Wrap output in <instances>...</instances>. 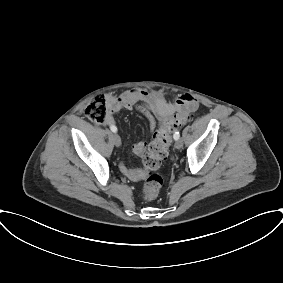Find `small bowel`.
Instances as JSON below:
<instances>
[{
  "instance_id": "obj_1",
  "label": "small bowel",
  "mask_w": 283,
  "mask_h": 283,
  "mask_svg": "<svg viewBox=\"0 0 283 283\" xmlns=\"http://www.w3.org/2000/svg\"><path fill=\"white\" fill-rule=\"evenodd\" d=\"M106 102L109 109L107 117L109 125L115 124L114 114L122 110L136 108L148 119L151 131H154L159 123L179 110V105L168 101L163 95L139 89L128 90L119 96L109 95ZM187 102L195 103L194 99L188 94L181 95L177 100L179 104ZM145 148V142H138L132 147V151L136 155H141ZM119 169L122 174L133 181H138L144 176V171L141 168H130L125 162L120 163Z\"/></svg>"
}]
</instances>
